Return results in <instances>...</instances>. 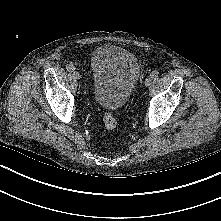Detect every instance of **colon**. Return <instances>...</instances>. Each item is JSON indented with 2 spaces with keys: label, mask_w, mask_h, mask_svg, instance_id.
I'll return each instance as SVG.
<instances>
[{
  "label": "colon",
  "mask_w": 221,
  "mask_h": 221,
  "mask_svg": "<svg viewBox=\"0 0 221 221\" xmlns=\"http://www.w3.org/2000/svg\"><path fill=\"white\" fill-rule=\"evenodd\" d=\"M103 124L107 131L112 132L117 127V121L111 111H105L103 114Z\"/></svg>",
  "instance_id": "5ec220e1"
}]
</instances>
